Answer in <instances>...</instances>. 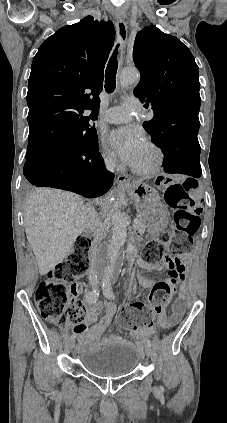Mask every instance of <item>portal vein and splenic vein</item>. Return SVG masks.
Here are the masks:
<instances>
[{"label": "portal vein and splenic vein", "mask_w": 227, "mask_h": 423, "mask_svg": "<svg viewBox=\"0 0 227 423\" xmlns=\"http://www.w3.org/2000/svg\"><path fill=\"white\" fill-rule=\"evenodd\" d=\"M138 221H139L138 217H135L134 223H138Z\"/></svg>", "instance_id": "1"}]
</instances>
